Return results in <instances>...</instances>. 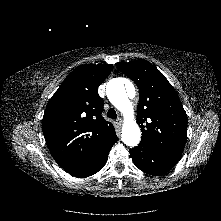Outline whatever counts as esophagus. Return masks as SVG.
<instances>
[{
  "label": "esophagus",
  "mask_w": 221,
  "mask_h": 221,
  "mask_svg": "<svg viewBox=\"0 0 221 221\" xmlns=\"http://www.w3.org/2000/svg\"><path fill=\"white\" fill-rule=\"evenodd\" d=\"M117 123L121 126L123 124V120L121 118H118Z\"/></svg>",
  "instance_id": "1"
}]
</instances>
